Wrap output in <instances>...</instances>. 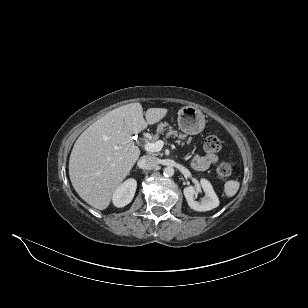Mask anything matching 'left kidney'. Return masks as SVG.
<instances>
[{
  "mask_svg": "<svg viewBox=\"0 0 308 308\" xmlns=\"http://www.w3.org/2000/svg\"><path fill=\"white\" fill-rule=\"evenodd\" d=\"M201 187L205 192V197L201 201H196L194 195L196 189L194 186L185 187L183 192L191 209L199 212L210 211L219 206V199L214 192L211 183L206 179H201Z\"/></svg>",
  "mask_w": 308,
  "mask_h": 308,
  "instance_id": "1",
  "label": "left kidney"
}]
</instances>
